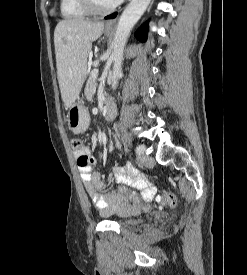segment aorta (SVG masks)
I'll return each mask as SVG.
<instances>
[{"mask_svg":"<svg viewBox=\"0 0 247 275\" xmlns=\"http://www.w3.org/2000/svg\"><path fill=\"white\" fill-rule=\"evenodd\" d=\"M150 2L151 0H131L120 16L111 54V59L113 61L112 89H116L119 77L122 75L124 48L131 30L144 14Z\"/></svg>","mask_w":247,"mask_h":275,"instance_id":"aorta-1","label":"aorta"}]
</instances>
